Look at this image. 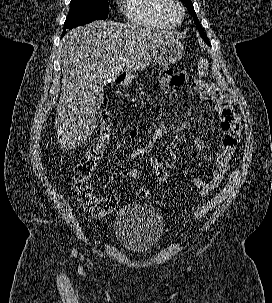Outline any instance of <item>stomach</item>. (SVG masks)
Listing matches in <instances>:
<instances>
[{"label": "stomach", "mask_w": 272, "mask_h": 303, "mask_svg": "<svg viewBox=\"0 0 272 303\" xmlns=\"http://www.w3.org/2000/svg\"><path fill=\"white\" fill-rule=\"evenodd\" d=\"M183 45L177 39L170 37L159 44L154 61L160 66H167L179 61L183 53Z\"/></svg>", "instance_id": "1"}]
</instances>
